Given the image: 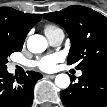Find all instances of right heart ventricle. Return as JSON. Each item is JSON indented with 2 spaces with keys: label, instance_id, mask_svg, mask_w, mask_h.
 <instances>
[{
  "label": "right heart ventricle",
  "instance_id": "e07e8e85",
  "mask_svg": "<svg viewBox=\"0 0 107 107\" xmlns=\"http://www.w3.org/2000/svg\"><path fill=\"white\" fill-rule=\"evenodd\" d=\"M58 30H61V29L58 28V27L55 26V25H47V26H45V28H44V32H45L46 35L52 34V33L56 32V31H58Z\"/></svg>",
  "mask_w": 107,
  "mask_h": 107
}]
</instances>
